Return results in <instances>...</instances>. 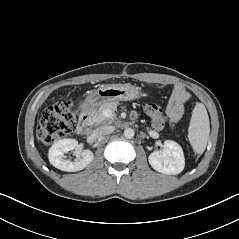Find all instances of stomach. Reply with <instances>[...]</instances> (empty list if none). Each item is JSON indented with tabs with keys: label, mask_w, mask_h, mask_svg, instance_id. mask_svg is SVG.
Here are the masks:
<instances>
[{
	"label": "stomach",
	"mask_w": 239,
	"mask_h": 239,
	"mask_svg": "<svg viewBox=\"0 0 239 239\" xmlns=\"http://www.w3.org/2000/svg\"><path fill=\"white\" fill-rule=\"evenodd\" d=\"M142 91L131 84H110L100 86L85 100V111L93 113L98 107L115 101H130L142 96Z\"/></svg>",
	"instance_id": "obj_1"
}]
</instances>
